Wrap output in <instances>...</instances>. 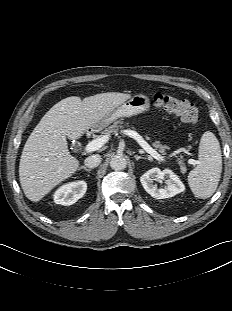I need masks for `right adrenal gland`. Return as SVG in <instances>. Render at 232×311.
<instances>
[{
  "mask_svg": "<svg viewBox=\"0 0 232 311\" xmlns=\"http://www.w3.org/2000/svg\"><path fill=\"white\" fill-rule=\"evenodd\" d=\"M80 169H84L85 171H87V172H89V173L91 172V169H88V168H86L85 166L79 167V170H80Z\"/></svg>",
  "mask_w": 232,
  "mask_h": 311,
  "instance_id": "2a0ac1e0",
  "label": "right adrenal gland"
}]
</instances>
